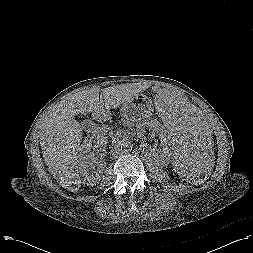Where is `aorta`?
Here are the masks:
<instances>
[{
  "mask_svg": "<svg viewBox=\"0 0 253 253\" xmlns=\"http://www.w3.org/2000/svg\"><path fill=\"white\" fill-rule=\"evenodd\" d=\"M132 144L129 140H124L120 144V149L122 152L127 153L132 150Z\"/></svg>",
  "mask_w": 253,
  "mask_h": 253,
  "instance_id": "obj_1",
  "label": "aorta"
}]
</instances>
